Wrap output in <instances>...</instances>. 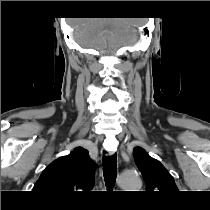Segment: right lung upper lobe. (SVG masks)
Masks as SVG:
<instances>
[{
    "mask_svg": "<svg viewBox=\"0 0 210 210\" xmlns=\"http://www.w3.org/2000/svg\"><path fill=\"white\" fill-rule=\"evenodd\" d=\"M95 167L88 151L77 147L69 155L48 165L33 191L57 203L69 202L80 193L77 191H86L93 187Z\"/></svg>",
    "mask_w": 210,
    "mask_h": 210,
    "instance_id": "1",
    "label": "right lung upper lobe"
}]
</instances>
